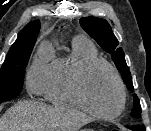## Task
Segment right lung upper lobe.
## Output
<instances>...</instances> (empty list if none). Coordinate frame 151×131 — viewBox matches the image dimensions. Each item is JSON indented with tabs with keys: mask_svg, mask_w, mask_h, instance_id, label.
Returning <instances> with one entry per match:
<instances>
[{
	"mask_svg": "<svg viewBox=\"0 0 151 131\" xmlns=\"http://www.w3.org/2000/svg\"><path fill=\"white\" fill-rule=\"evenodd\" d=\"M41 24L39 21H32L27 24L19 33L17 40L10 49L35 44Z\"/></svg>",
	"mask_w": 151,
	"mask_h": 131,
	"instance_id": "1",
	"label": "right lung upper lobe"
}]
</instances>
